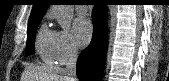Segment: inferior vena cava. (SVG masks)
I'll return each instance as SVG.
<instances>
[{"label": "inferior vena cava", "mask_w": 169, "mask_h": 81, "mask_svg": "<svg viewBox=\"0 0 169 81\" xmlns=\"http://www.w3.org/2000/svg\"><path fill=\"white\" fill-rule=\"evenodd\" d=\"M78 58V51L75 47H70L68 52V61L65 68V73L72 81H76V63Z\"/></svg>", "instance_id": "602c4592"}]
</instances>
